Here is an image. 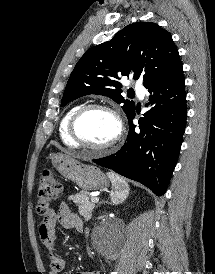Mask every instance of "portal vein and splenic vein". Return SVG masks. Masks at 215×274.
I'll return each mask as SVG.
<instances>
[{
  "mask_svg": "<svg viewBox=\"0 0 215 274\" xmlns=\"http://www.w3.org/2000/svg\"><path fill=\"white\" fill-rule=\"evenodd\" d=\"M91 202L98 203L99 202V198L98 197H92L91 198Z\"/></svg>",
  "mask_w": 215,
  "mask_h": 274,
  "instance_id": "portal-vein-and-splenic-vein-1",
  "label": "portal vein and splenic vein"
}]
</instances>
